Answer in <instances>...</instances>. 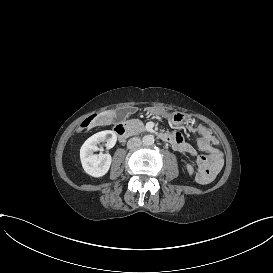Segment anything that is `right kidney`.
I'll return each instance as SVG.
<instances>
[{"label":"right kidney","instance_id":"ca27d5eb","mask_svg":"<svg viewBox=\"0 0 273 273\" xmlns=\"http://www.w3.org/2000/svg\"><path fill=\"white\" fill-rule=\"evenodd\" d=\"M106 142L107 148H112L117 142L113 131H102L94 134L81 147L80 157L84 171L93 178L105 176L111 167L112 157L109 154H97L98 144Z\"/></svg>","mask_w":273,"mask_h":273}]
</instances>
